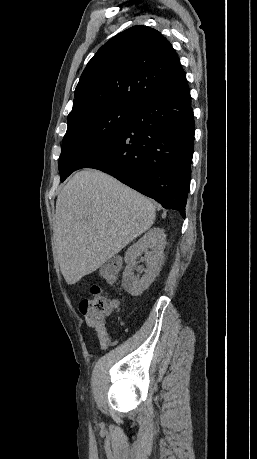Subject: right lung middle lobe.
Segmentation results:
<instances>
[{"instance_id": "right-lung-middle-lobe-1", "label": "right lung middle lobe", "mask_w": 257, "mask_h": 459, "mask_svg": "<svg viewBox=\"0 0 257 459\" xmlns=\"http://www.w3.org/2000/svg\"><path fill=\"white\" fill-rule=\"evenodd\" d=\"M135 109L125 106L106 107L67 123L59 159L61 181L123 132Z\"/></svg>"}]
</instances>
